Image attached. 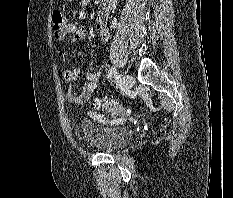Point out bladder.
I'll list each match as a JSON object with an SVG mask.
<instances>
[{"label": "bladder", "instance_id": "obj_1", "mask_svg": "<svg viewBox=\"0 0 233 198\" xmlns=\"http://www.w3.org/2000/svg\"><path fill=\"white\" fill-rule=\"evenodd\" d=\"M85 141L102 152H116L126 147L132 140V131L123 126L99 127L85 122L81 126Z\"/></svg>", "mask_w": 233, "mask_h": 198}]
</instances>
